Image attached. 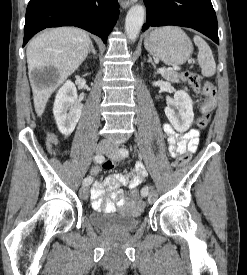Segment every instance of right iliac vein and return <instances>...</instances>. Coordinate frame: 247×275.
Masks as SVG:
<instances>
[{"mask_svg":"<svg viewBox=\"0 0 247 275\" xmlns=\"http://www.w3.org/2000/svg\"><path fill=\"white\" fill-rule=\"evenodd\" d=\"M109 150V143L108 141H100L96 146V152L97 154H103ZM80 196L82 199L87 200L89 197V191L87 186H83L80 189Z\"/></svg>","mask_w":247,"mask_h":275,"instance_id":"1","label":"right iliac vein"}]
</instances>
